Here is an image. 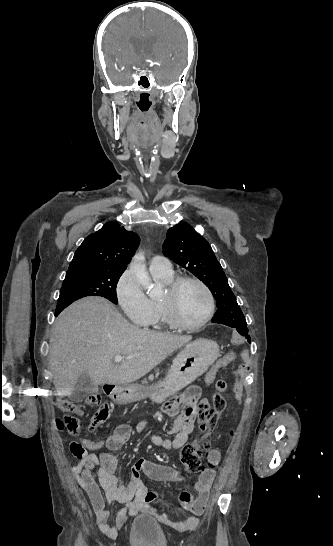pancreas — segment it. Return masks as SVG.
<instances>
[{"label":"pancreas","mask_w":333,"mask_h":546,"mask_svg":"<svg viewBox=\"0 0 333 546\" xmlns=\"http://www.w3.org/2000/svg\"><path fill=\"white\" fill-rule=\"evenodd\" d=\"M158 376H159V372H156V375H155V376H154L153 374H151V375L148 377V379H149V381H153V380H154L155 378H157ZM142 383H143V384H147L148 381L145 379V380H143Z\"/></svg>","instance_id":"obj_1"}]
</instances>
